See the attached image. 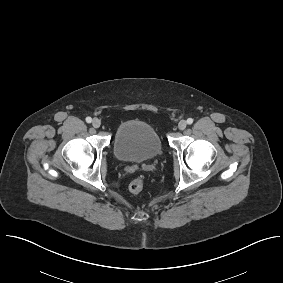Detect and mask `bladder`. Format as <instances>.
<instances>
[{
  "label": "bladder",
  "instance_id": "obj_1",
  "mask_svg": "<svg viewBox=\"0 0 283 283\" xmlns=\"http://www.w3.org/2000/svg\"><path fill=\"white\" fill-rule=\"evenodd\" d=\"M113 150L123 162L141 163L157 158L163 144L156 128L143 120H129L118 127Z\"/></svg>",
  "mask_w": 283,
  "mask_h": 283
}]
</instances>
